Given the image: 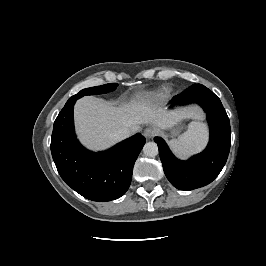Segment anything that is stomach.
Masks as SVG:
<instances>
[{
    "label": "stomach",
    "mask_w": 266,
    "mask_h": 266,
    "mask_svg": "<svg viewBox=\"0 0 266 266\" xmlns=\"http://www.w3.org/2000/svg\"><path fill=\"white\" fill-rule=\"evenodd\" d=\"M183 124L181 120H178L177 122H175L174 124H172L169 128V136L170 137H175L177 136L182 130H183Z\"/></svg>",
    "instance_id": "1"
}]
</instances>
